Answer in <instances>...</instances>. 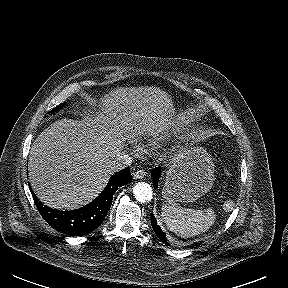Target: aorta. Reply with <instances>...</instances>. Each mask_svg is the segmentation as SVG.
<instances>
[{"mask_svg": "<svg viewBox=\"0 0 288 288\" xmlns=\"http://www.w3.org/2000/svg\"><path fill=\"white\" fill-rule=\"evenodd\" d=\"M133 195L140 203L150 202L153 198L152 187L146 182H138L133 187Z\"/></svg>", "mask_w": 288, "mask_h": 288, "instance_id": "aorta-1", "label": "aorta"}]
</instances>
